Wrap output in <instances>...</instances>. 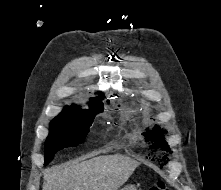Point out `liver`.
Wrapping results in <instances>:
<instances>
[{"label": "liver", "instance_id": "1", "mask_svg": "<svg viewBox=\"0 0 221 190\" xmlns=\"http://www.w3.org/2000/svg\"><path fill=\"white\" fill-rule=\"evenodd\" d=\"M139 163L123 155H105L44 171L42 190H118Z\"/></svg>", "mask_w": 221, "mask_h": 190}]
</instances>
